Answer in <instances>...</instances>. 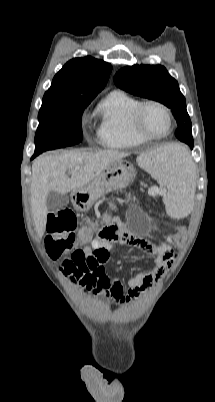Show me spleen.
<instances>
[{
	"mask_svg": "<svg viewBox=\"0 0 215 402\" xmlns=\"http://www.w3.org/2000/svg\"><path fill=\"white\" fill-rule=\"evenodd\" d=\"M138 163L159 183L166 185L167 213L175 218L192 213V198L197 192L196 178L199 169H193L185 143H171L147 155L140 156Z\"/></svg>",
	"mask_w": 215,
	"mask_h": 402,
	"instance_id": "spleen-1",
	"label": "spleen"
}]
</instances>
